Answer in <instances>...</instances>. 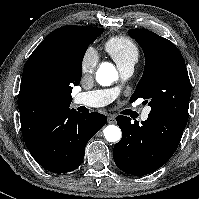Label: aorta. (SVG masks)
Segmentation results:
<instances>
[{"label": "aorta", "instance_id": "1", "mask_svg": "<svg viewBox=\"0 0 199 199\" xmlns=\"http://www.w3.org/2000/svg\"><path fill=\"white\" fill-rule=\"evenodd\" d=\"M118 78V73L113 65L103 64L96 74L97 82L102 86H109ZM104 136L109 142H118L121 139V130L118 126L108 125L103 130Z\"/></svg>", "mask_w": 199, "mask_h": 199}]
</instances>
